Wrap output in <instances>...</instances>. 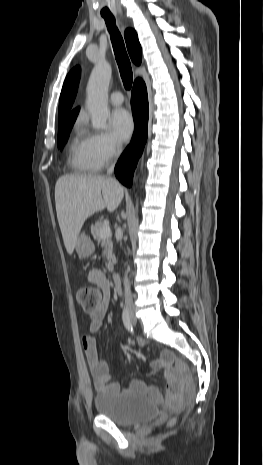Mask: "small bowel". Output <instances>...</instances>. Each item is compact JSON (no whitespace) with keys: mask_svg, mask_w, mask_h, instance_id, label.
Instances as JSON below:
<instances>
[{"mask_svg":"<svg viewBox=\"0 0 263 465\" xmlns=\"http://www.w3.org/2000/svg\"><path fill=\"white\" fill-rule=\"evenodd\" d=\"M88 280L101 290L102 298L97 306L88 312V332L82 337V346L85 358L96 390L105 391L111 389L119 391L120 386L115 382H111L107 364L98 358L96 338L94 336L95 332L102 326L107 314L110 295L109 283L103 272L98 269H91L89 271ZM139 343L141 345L143 344L141 341ZM174 363L175 359L173 355L168 352L162 353L159 360L154 363L155 366H162L165 368V377L167 380V391L165 397H163L156 388H147L140 381H133L130 384V388L146 389L157 401L165 400L168 404H178L181 402L186 391L187 381L182 367L178 364L174 366Z\"/></svg>","mask_w":263,"mask_h":465,"instance_id":"obj_1","label":"small bowel"}]
</instances>
